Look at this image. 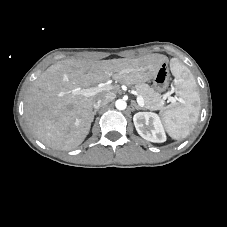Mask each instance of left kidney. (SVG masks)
Returning <instances> with one entry per match:
<instances>
[{
	"mask_svg": "<svg viewBox=\"0 0 227 227\" xmlns=\"http://www.w3.org/2000/svg\"><path fill=\"white\" fill-rule=\"evenodd\" d=\"M133 122L138 134L151 142L166 141V134L158 114L153 112H138L133 116Z\"/></svg>",
	"mask_w": 227,
	"mask_h": 227,
	"instance_id": "1",
	"label": "left kidney"
}]
</instances>
